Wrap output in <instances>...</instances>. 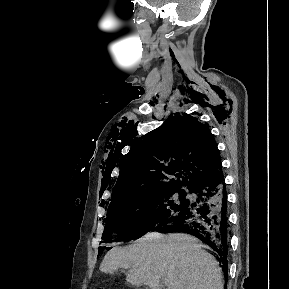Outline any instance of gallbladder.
I'll use <instances>...</instances> for the list:
<instances>
[{"label": "gallbladder", "mask_w": 289, "mask_h": 289, "mask_svg": "<svg viewBox=\"0 0 289 289\" xmlns=\"http://www.w3.org/2000/svg\"><path fill=\"white\" fill-rule=\"evenodd\" d=\"M137 289H149V288H137Z\"/></svg>", "instance_id": "1"}]
</instances>
